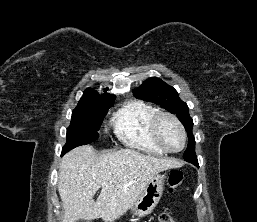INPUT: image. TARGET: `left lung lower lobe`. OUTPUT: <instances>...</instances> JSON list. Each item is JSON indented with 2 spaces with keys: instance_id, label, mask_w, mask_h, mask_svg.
<instances>
[{
  "instance_id": "0a47b994",
  "label": "left lung lower lobe",
  "mask_w": 257,
  "mask_h": 222,
  "mask_svg": "<svg viewBox=\"0 0 257 222\" xmlns=\"http://www.w3.org/2000/svg\"><path fill=\"white\" fill-rule=\"evenodd\" d=\"M194 165L198 166V163H195Z\"/></svg>"
}]
</instances>
